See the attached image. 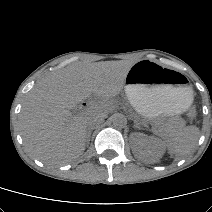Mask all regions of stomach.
<instances>
[{
    "label": "stomach",
    "mask_w": 212,
    "mask_h": 212,
    "mask_svg": "<svg viewBox=\"0 0 212 212\" xmlns=\"http://www.w3.org/2000/svg\"><path fill=\"white\" fill-rule=\"evenodd\" d=\"M179 73L148 60L135 63L125 79V93L143 117L179 114L192 103V89Z\"/></svg>",
    "instance_id": "0dacf381"
}]
</instances>
